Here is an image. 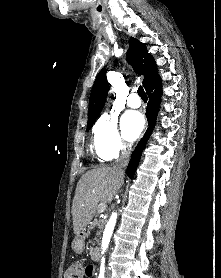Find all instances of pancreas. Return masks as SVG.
<instances>
[{
	"label": "pancreas",
	"instance_id": "obj_1",
	"mask_svg": "<svg viewBox=\"0 0 221 278\" xmlns=\"http://www.w3.org/2000/svg\"><path fill=\"white\" fill-rule=\"evenodd\" d=\"M92 227H96V229H98L99 231L102 229V227L104 226L103 222H100L99 219H94V221L91 223Z\"/></svg>",
	"mask_w": 221,
	"mask_h": 278
}]
</instances>
